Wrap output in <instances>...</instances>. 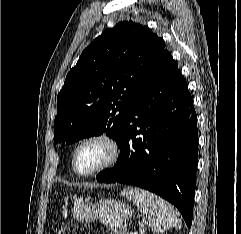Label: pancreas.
Masks as SVG:
<instances>
[{
	"label": "pancreas",
	"mask_w": 241,
	"mask_h": 234,
	"mask_svg": "<svg viewBox=\"0 0 241 234\" xmlns=\"http://www.w3.org/2000/svg\"><path fill=\"white\" fill-rule=\"evenodd\" d=\"M111 234H127L124 228H118L111 232Z\"/></svg>",
	"instance_id": "1"
}]
</instances>
